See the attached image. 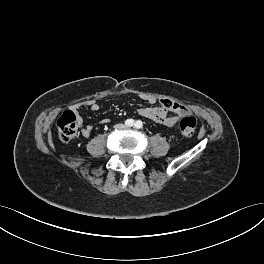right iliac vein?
<instances>
[{"instance_id": "63e3f726", "label": "right iliac vein", "mask_w": 264, "mask_h": 264, "mask_svg": "<svg viewBox=\"0 0 264 264\" xmlns=\"http://www.w3.org/2000/svg\"><path fill=\"white\" fill-rule=\"evenodd\" d=\"M116 127H117V128H121L122 126H121V125H117Z\"/></svg>"}]
</instances>
